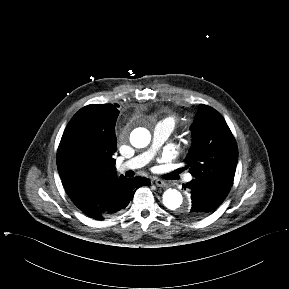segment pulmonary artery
I'll return each instance as SVG.
<instances>
[{
	"mask_svg": "<svg viewBox=\"0 0 289 289\" xmlns=\"http://www.w3.org/2000/svg\"><path fill=\"white\" fill-rule=\"evenodd\" d=\"M172 131L173 126L167 120L164 119L158 122L153 130L151 147L147 151L133 157L132 159L120 163L117 167L118 171L122 172L125 170H134L145 166L152 159L164 141L169 137ZM185 180L191 181L192 176L189 174L186 175Z\"/></svg>",
	"mask_w": 289,
	"mask_h": 289,
	"instance_id": "obj_1",
	"label": "pulmonary artery"
}]
</instances>
